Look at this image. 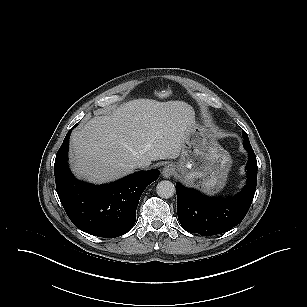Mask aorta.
<instances>
[{"label":"aorta","mask_w":307,"mask_h":307,"mask_svg":"<svg viewBox=\"0 0 307 307\" xmlns=\"http://www.w3.org/2000/svg\"><path fill=\"white\" fill-rule=\"evenodd\" d=\"M156 191L159 197L168 199L175 194V186L172 182L163 180L157 184Z\"/></svg>","instance_id":"aorta-1"}]
</instances>
